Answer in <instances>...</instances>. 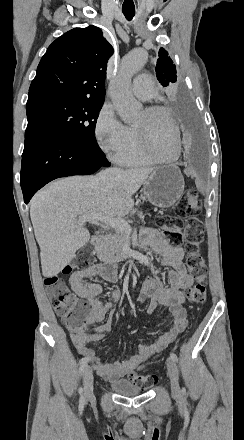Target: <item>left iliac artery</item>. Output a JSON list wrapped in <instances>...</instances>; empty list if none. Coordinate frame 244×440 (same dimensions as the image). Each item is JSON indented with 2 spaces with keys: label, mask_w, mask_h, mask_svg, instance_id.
<instances>
[{
  "label": "left iliac artery",
  "mask_w": 244,
  "mask_h": 440,
  "mask_svg": "<svg viewBox=\"0 0 244 440\" xmlns=\"http://www.w3.org/2000/svg\"><path fill=\"white\" fill-rule=\"evenodd\" d=\"M170 359H172L173 361L177 362L178 361V357L175 353H171L170 354Z\"/></svg>",
  "instance_id": "44dca946"
}]
</instances>
